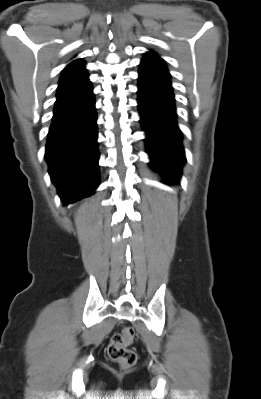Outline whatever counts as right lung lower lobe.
Returning a JSON list of instances; mask_svg holds the SVG:
<instances>
[{"label": "right lung lower lobe", "mask_w": 261, "mask_h": 399, "mask_svg": "<svg viewBox=\"0 0 261 399\" xmlns=\"http://www.w3.org/2000/svg\"><path fill=\"white\" fill-rule=\"evenodd\" d=\"M96 120L87 74L58 86L45 158L65 205L87 197L99 185Z\"/></svg>", "instance_id": "98d812e1"}]
</instances>
